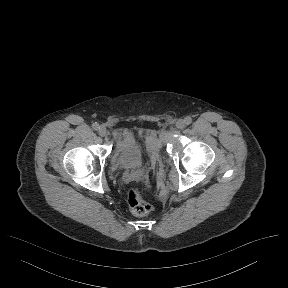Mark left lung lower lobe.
Wrapping results in <instances>:
<instances>
[{"label":"left lung lower lobe","mask_w":288,"mask_h":288,"mask_svg":"<svg viewBox=\"0 0 288 288\" xmlns=\"http://www.w3.org/2000/svg\"><path fill=\"white\" fill-rule=\"evenodd\" d=\"M262 207V203L260 202L257 208L254 210L253 214H256Z\"/></svg>","instance_id":"left-lung-lower-lobe-1"}]
</instances>
